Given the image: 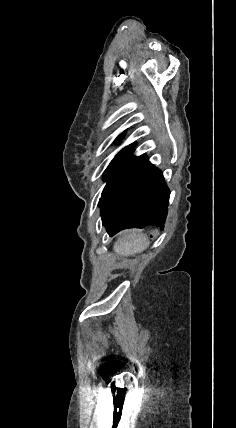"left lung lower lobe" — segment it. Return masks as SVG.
Here are the masks:
<instances>
[{"instance_id":"0a47b994","label":"left lung lower lobe","mask_w":236,"mask_h":428,"mask_svg":"<svg viewBox=\"0 0 236 428\" xmlns=\"http://www.w3.org/2000/svg\"><path fill=\"white\" fill-rule=\"evenodd\" d=\"M169 197L162 172L141 155L110 191L102 192V223L110 236L128 228L163 229Z\"/></svg>"}]
</instances>
